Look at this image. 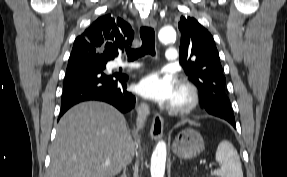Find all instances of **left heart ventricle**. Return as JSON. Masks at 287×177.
I'll return each mask as SVG.
<instances>
[{
  "mask_svg": "<svg viewBox=\"0 0 287 177\" xmlns=\"http://www.w3.org/2000/svg\"><path fill=\"white\" fill-rule=\"evenodd\" d=\"M179 99H180V94H179V92L177 90L175 95H174V97H173V99L171 100V102L178 101Z\"/></svg>",
  "mask_w": 287,
  "mask_h": 177,
  "instance_id": "left-heart-ventricle-1",
  "label": "left heart ventricle"
}]
</instances>
